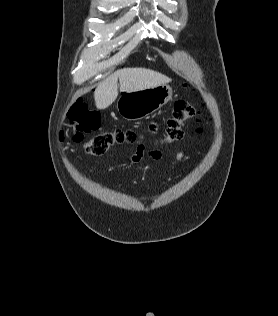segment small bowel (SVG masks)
<instances>
[{
    "mask_svg": "<svg viewBox=\"0 0 278 316\" xmlns=\"http://www.w3.org/2000/svg\"><path fill=\"white\" fill-rule=\"evenodd\" d=\"M150 129L153 132H155L157 130V126L155 124H151ZM147 156L155 160H158L162 158V153L160 151H146L145 147L143 145H140L135 151V153L131 156L130 160L132 163H136V162L141 161ZM183 156H184L183 152H179L177 154V159L181 160Z\"/></svg>",
    "mask_w": 278,
    "mask_h": 316,
    "instance_id": "c3829d8e",
    "label": "small bowel"
}]
</instances>
